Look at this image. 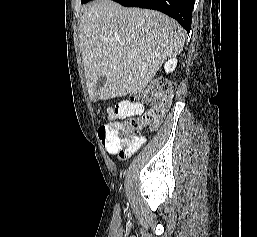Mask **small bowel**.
Here are the masks:
<instances>
[{"mask_svg": "<svg viewBox=\"0 0 257 237\" xmlns=\"http://www.w3.org/2000/svg\"><path fill=\"white\" fill-rule=\"evenodd\" d=\"M143 111V105L137 101L124 100L121 101L114 109L109 112L111 119L126 118L139 115ZM145 142L144 137L134 136L130 141L126 142L122 147L107 146L106 149L114 154L119 160H123L133 155Z\"/></svg>", "mask_w": 257, "mask_h": 237, "instance_id": "obj_1", "label": "small bowel"}]
</instances>
